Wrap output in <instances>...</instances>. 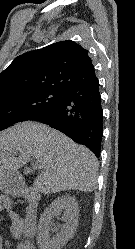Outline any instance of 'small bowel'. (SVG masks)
Returning <instances> with one entry per match:
<instances>
[{"instance_id":"small-bowel-1","label":"small bowel","mask_w":135,"mask_h":249,"mask_svg":"<svg viewBox=\"0 0 135 249\" xmlns=\"http://www.w3.org/2000/svg\"><path fill=\"white\" fill-rule=\"evenodd\" d=\"M0 212H6L11 220L12 235L18 240L16 249H36L35 237V215L28 211L25 218L19 216L14 210L13 204L6 196H0ZM3 238L0 233V249H2Z\"/></svg>"}]
</instances>
